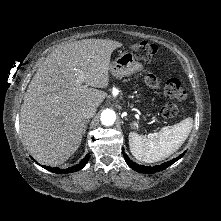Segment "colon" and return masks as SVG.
Returning a JSON list of instances; mask_svg holds the SVG:
<instances>
[{"mask_svg":"<svg viewBox=\"0 0 221 221\" xmlns=\"http://www.w3.org/2000/svg\"><path fill=\"white\" fill-rule=\"evenodd\" d=\"M131 49L137 58L147 62L151 61L157 52L156 46L148 42L134 44L131 46ZM148 80L150 83L154 82V79L151 75L148 77ZM164 93L170 99V102L164 105L161 113L165 118H172L177 114L178 111L175 101H184L187 97V94L182 87L180 80L175 77L169 78L166 81L164 85Z\"/></svg>","mask_w":221,"mask_h":221,"instance_id":"colon-1","label":"colon"}]
</instances>
